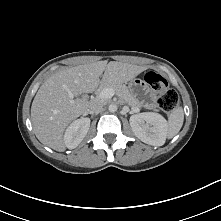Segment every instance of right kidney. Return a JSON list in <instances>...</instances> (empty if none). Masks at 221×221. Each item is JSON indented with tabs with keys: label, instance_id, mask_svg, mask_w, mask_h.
Here are the masks:
<instances>
[{
	"label": "right kidney",
	"instance_id": "obj_1",
	"mask_svg": "<svg viewBox=\"0 0 221 221\" xmlns=\"http://www.w3.org/2000/svg\"><path fill=\"white\" fill-rule=\"evenodd\" d=\"M89 127V118H80L72 122L64 134V143L66 147L68 149L76 148L86 136Z\"/></svg>",
	"mask_w": 221,
	"mask_h": 221
}]
</instances>
